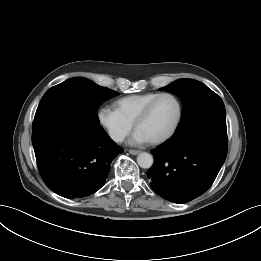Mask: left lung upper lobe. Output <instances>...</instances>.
Returning <instances> with one entry per match:
<instances>
[{"mask_svg":"<svg viewBox=\"0 0 261 261\" xmlns=\"http://www.w3.org/2000/svg\"><path fill=\"white\" fill-rule=\"evenodd\" d=\"M161 90L178 95L183 103L182 118L174 134L189 132L217 120H226L222 99L197 80L178 79Z\"/></svg>","mask_w":261,"mask_h":261,"instance_id":"5c2ea615","label":"left lung upper lobe"}]
</instances>
